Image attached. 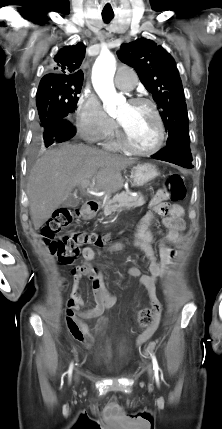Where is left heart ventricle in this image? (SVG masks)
Segmentation results:
<instances>
[{
    "instance_id": "obj_1",
    "label": "left heart ventricle",
    "mask_w": 222,
    "mask_h": 429,
    "mask_svg": "<svg viewBox=\"0 0 222 429\" xmlns=\"http://www.w3.org/2000/svg\"><path fill=\"white\" fill-rule=\"evenodd\" d=\"M129 141L139 149H149L157 142L155 118L145 105L124 103L116 115Z\"/></svg>"
}]
</instances>
